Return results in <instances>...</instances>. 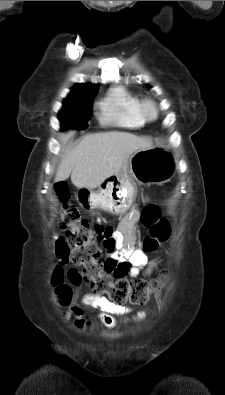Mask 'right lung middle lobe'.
Instances as JSON below:
<instances>
[{
  "label": "right lung middle lobe",
  "instance_id": "right-lung-middle-lobe-1",
  "mask_svg": "<svg viewBox=\"0 0 225 395\" xmlns=\"http://www.w3.org/2000/svg\"><path fill=\"white\" fill-rule=\"evenodd\" d=\"M69 95L63 103V109L59 113V120L63 129L75 128L86 129L91 115L93 97Z\"/></svg>",
  "mask_w": 225,
  "mask_h": 395
}]
</instances>
